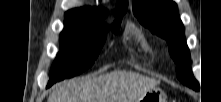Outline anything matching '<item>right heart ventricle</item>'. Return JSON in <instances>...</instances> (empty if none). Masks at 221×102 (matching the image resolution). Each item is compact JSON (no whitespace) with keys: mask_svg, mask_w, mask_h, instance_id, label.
<instances>
[{"mask_svg":"<svg viewBox=\"0 0 221 102\" xmlns=\"http://www.w3.org/2000/svg\"><path fill=\"white\" fill-rule=\"evenodd\" d=\"M132 36H133L134 40L140 44V46L142 47V49L144 51L149 50V45H148L146 39L139 31H136V30L133 31Z\"/></svg>","mask_w":221,"mask_h":102,"instance_id":"e07e8e85","label":"right heart ventricle"}]
</instances>
